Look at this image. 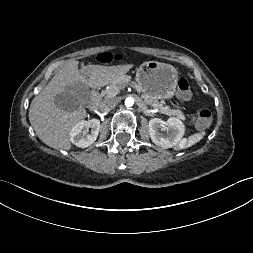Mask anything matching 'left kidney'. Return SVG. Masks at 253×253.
I'll use <instances>...</instances> for the list:
<instances>
[{
  "label": "left kidney",
  "instance_id": "1",
  "mask_svg": "<svg viewBox=\"0 0 253 253\" xmlns=\"http://www.w3.org/2000/svg\"><path fill=\"white\" fill-rule=\"evenodd\" d=\"M148 128L151 140L164 149L176 146L185 132L182 121L174 117L169 118L167 121L159 118L151 119ZM160 130L167 131V134L160 133Z\"/></svg>",
  "mask_w": 253,
  "mask_h": 253
}]
</instances>
